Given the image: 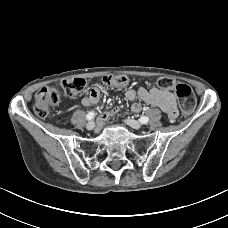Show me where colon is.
Listing matches in <instances>:
<instances>
[{
	"label": "colon",
	"mask_w": 228,
	"mask_h": 228,
	"mask_svg": "<svg viewBox=\"0 0 228 228\" xmlns=\"http://www.w3.org/2000/svg\"><path fill=\"white\" fill-rule=\"evenodd\" d=\"M130 80L125 75H106L103 83L109 87H124ZM160 89L174 90L183 112L190 113L196 106V96L187 84L176 83L170 77H161L157 81ZM86 86V81L80 77H71L63 80L62 90L66 96H76L80 94ZM60 99V93L52 87L40 89L35 96L34 112L38 117H47L52 108L56 106Z\"/></svg>",
	"instance_id": "colon-1"
}]
</instances>
